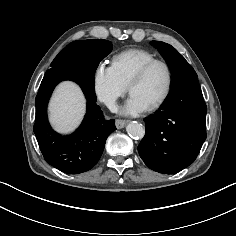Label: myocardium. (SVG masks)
Wrapping results in <instances>:
<instances>
[{
	"label": "myocardium",
	"mask_w": 236,
	"mask_h": 236,
	"mask_svg": "<svg viewBox=\"0 0 236 236\" xmlns=\"http://www.w3.org/2000/svg\"><path fill=\"white\" fill-rule=\"evenodd\" d=\"M156 65H162L166 69L167 85H166V89H165L163 95L160 97V99L148 107V109L151 111L157 110L160 107H162L165 104V102L168 100V98L171 94V91L173 88L174 76H173V71H172L170 64L167 61L162 60V59H154V60L147 62L135 74V76L133 77V79L131 80V82L128 86L129 92L131 93L133 87L136 86L137 84H139L140 82H142L144 80V78L147 76V74L149 73V71Z\"/></svg>",
	"instance_id": "obj_1"
}]
</instances>
